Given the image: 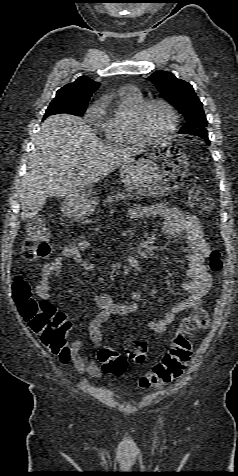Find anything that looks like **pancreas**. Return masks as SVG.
I'll return each mask as SVG.
<instances>
[{"instance_id":"obj_1","label":"pancreas","mask_w":238,"mask_h":476,"mask_svg":"<svg viewBox=\"0 0 238 476\" xmlns=\"http://www.w3.org/2000/svg\"><path fill=\"white\" fill-rule=\"evenodd\" d=\"M130 196H131V194H126L124 192L117 193V194H112V195L108 196L107 199L104 201V205H108L110 210L112 211L113 210V203L115 201L124 199L125 197H130Z\"/></svg>"}]
</instances>
